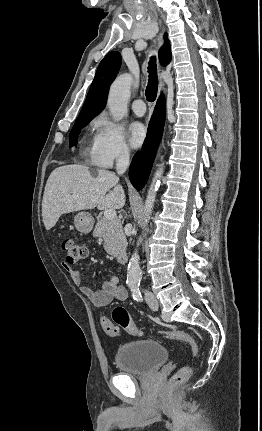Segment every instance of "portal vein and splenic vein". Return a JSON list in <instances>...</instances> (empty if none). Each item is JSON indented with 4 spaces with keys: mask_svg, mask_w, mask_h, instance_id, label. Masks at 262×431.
Wrapping results in <instances>:
<instances>
[{
    "mask_svg": "<svg viewBox=\"0 0 262 431\" xmlns=\"http://www.w3.org/2000/svg\"><path fill=\"white\" fill-rule=\"evenodd\" d=\"M104 217L108 220H113L114 218H116V211L113 209L105 210Z\"/></svg>",
    "mask_w": 262,
    "mask_h": 431,
    "instance_id": "1",
    "label": "portal vein and splenic vein"
}]
</instances>
